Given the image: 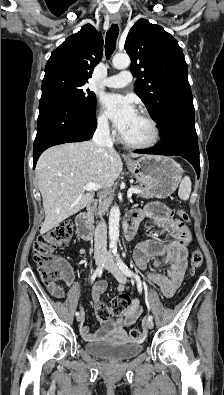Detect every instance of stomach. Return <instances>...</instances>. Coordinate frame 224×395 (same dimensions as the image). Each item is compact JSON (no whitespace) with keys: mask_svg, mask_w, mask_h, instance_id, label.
<instances>
[{"mask_svg":"<svg viewBox=\"0 0 224 395\" xmlns=\"http://www.w3.org/2000/svg\"><path fill=\"white\" fill-rule=\"evenodd\" d=\"M126 164L137 182L152 197L170 196L182 178V168L169 157L143 156L137 160H127Z\"/></svg>","mask_w":224,"mask_h":395,"instance_id":"obj_1","label":"stomach"}]
</instances>
